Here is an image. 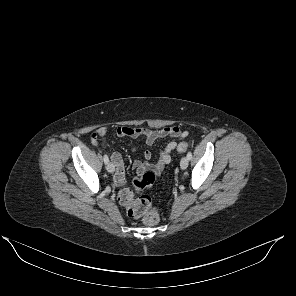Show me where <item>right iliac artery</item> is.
Segmentation results:
<instances>
[{"label": "right iliac artery", "instance_id": "obj_1", "mask_svg": "<svg viewBox=\"0 0 296 296\" xmlns=\"http://www.w3.org/2000/svg\"><path fill=\"white\" fill-rule=\"evenodd\" d=\"M104 163L107 164L109 162L108 156L105 154L103 157Z\"/></svg>", "mask_w": 296, "mask_h": 296}]
</instances>
